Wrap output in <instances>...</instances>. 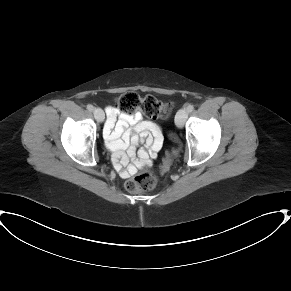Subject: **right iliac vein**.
Listing matches in <instances>:
<instances>
[{
    "mask_svg": "<svg viewBox=\"0 0 291 291\" xmlns=\"http://www.w3.org/2000/svg\"><path fill=\"white\" fill-rule=\"evenodd\" d=\"M93 113H94L95 119L98 122H103L104 121V112H103L102 109L95 108Z\"/></svg>",
    "mask_w": 291,
    "mask_h": 291,
    "instance_id": "1",
    "label": "right iliac vein"
}]
</instances>
